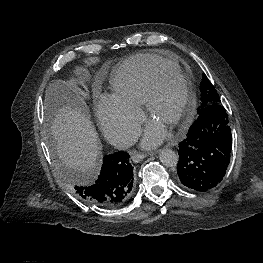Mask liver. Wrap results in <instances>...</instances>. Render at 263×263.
<instances>
[{"label":"liver","instance_id":"1","mask_svg":"<svg viewBox=\"0 0 263 263\" xmlns=\"http://www.w3.org/2000/svg\"><path fill=\"white\" fill-rule=\"evenodd\" d=\"M51 113V134L63 164L87 174L98 165L101 145L97 132L81 106L77 89L70 83L56 81L47 89Z\"/></svg>","mask_w":263,"mask_h":263}]
</instances>
